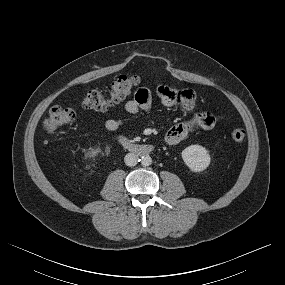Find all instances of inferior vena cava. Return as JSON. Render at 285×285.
Returning <instances> with one entry per match:
<instances>
[{"mask_svg":"<svg viewBox=\"0 0 285 285\" xmlns=\"http://www.w3.org/2000/svg\"><path fill=\"white\" fill-rule=\"evenodd\" d=\"M124 161L127 166H135L138 161V156L134 153H128L126 154Z\"/></svg>","mask_w":285,"mask_h":285,"instance_id":"obj_1","label":"inferior vena cava"}]
</instances>
